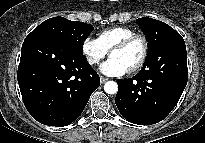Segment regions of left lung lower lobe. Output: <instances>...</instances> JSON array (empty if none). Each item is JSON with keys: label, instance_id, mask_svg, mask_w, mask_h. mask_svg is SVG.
Returning a JSON list of instances; mask_svg holds the SVG:
<instances>
[{"label": "left lung lower lobe", "instance_id": "left-lung-lower-lobe-1", "mask_svg": "<svg viewBox=\"0 0 205 143\" xmlns=\"http://www.w3.org/2000/svg\"><path fill=\"white\" fill-rule=\"evenodd\" d=\"M154 55L164 60L141 69L132 78L117 80L116 106L134 124L162 121L174 109L187 84V53L181 35L163 42Z\"/></svg>", "mask_w": 205, "mask_h": 143}]
</instances>
